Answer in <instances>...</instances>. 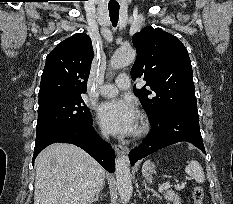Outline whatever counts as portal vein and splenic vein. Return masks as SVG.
<instances>
[{"label": "portal vein and splenic vein", "mask_w": 233, "mask_h": 204, "mask_svg": "<svg viewBox=\"0 0 233 204\" xmlns=\"http://www.w3.org/2000/svg\"><path fill=\"white\" fill-rule=\"evenodd\" d=\"M169 187H170L169 182H163L159 187V192H162L163 190L168 189Z\"/></svg>", "instance_id": "portal-vein-and-splenic-vein-1"}]
</instances>
